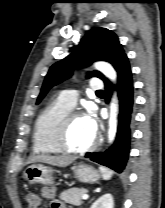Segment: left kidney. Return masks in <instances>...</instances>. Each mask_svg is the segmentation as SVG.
Instances as JSON below:
<instances>
[{
	"label": "left kidney",
	"instance_id": "left-kidney-1",
	"mask_svg": "<svg viewBox=\"0 0 165 208\" xmlns=\"http://www.w3.org/2000/svg\"><path fill=\"white\" fill-rule=\"evenodd\" d=\"M90 208H114L113 196L110 193L101 196Z\"/></svg>",
	"mask_w": 165,
	"mask_h": 208
}]
</instances>
